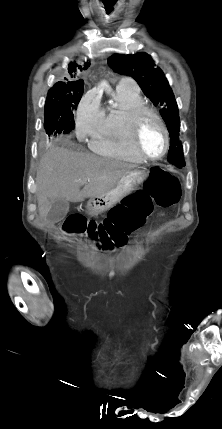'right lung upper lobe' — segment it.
Wrapping results in <instances>:
<instances>
[{"label": "right lung upper lobe", "mask_w": 222, "mask_h": 429, "mask_svg": "<svg viewBox=\"0 0 222 429\" xmlns=\"http://www.w3.org/2000/svg\"><path fill=\"white\" fill-rule=\"evenodd\" d=\"M89 67V63H85V67L83 70L87 69ZM81 70V66H79L76 62H71L68 65V68L66 70V74L70 78L76 79L75 81H68V82H57L50 90L49 92H65L68 90H71L78 84H83L82 79H79V71ZM66 79V78H65ZM68 80V79H66Z\"/></svg>", "instance_id": "1"}]
</instances>
